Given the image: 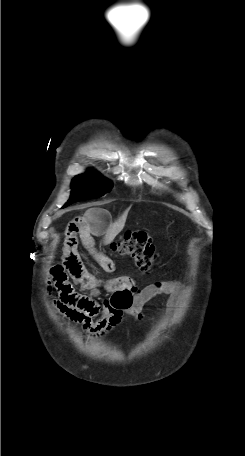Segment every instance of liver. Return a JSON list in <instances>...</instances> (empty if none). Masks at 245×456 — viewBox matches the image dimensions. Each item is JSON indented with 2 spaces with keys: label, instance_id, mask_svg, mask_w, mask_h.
I'll list each match as a JSON object with an SVG mask.
<instances>
[{
  "label": "liver",
  "instance_id": "6515ba94",
  "mask_svg": "<svg viewBox=\"0 0 245 456\" xmlns=\"http://www.w3.org/2000/svg\"><path fill=\"white\" fill-rule=\"evenodd\" d=\"M127 215L128 210H126L117 221H115L108 227L103 240L105 245L111 243L115 239V237L123 230L127 219Z\"/></svg>",
  "mask_w": 245,
  "mask_h": 456
}]
</instances>
